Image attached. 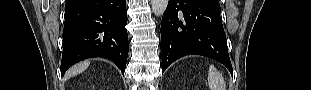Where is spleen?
<instances>
[{
	"instance_id": "1",
	"label": "spleen",
	"mask_w": 311,
	"mask_h": 90,
	"mask_svg": "<svg viewBox=\"0 0 311 90\" xmlns=\"http://www.w3.org/2000/svg\"><path fill=\"white\" fill-rule=\"evenodd\" d=\"M208 84L210 90H226L222 74L213 65L209 67Z\"/></svg>"
}]
</instances>
